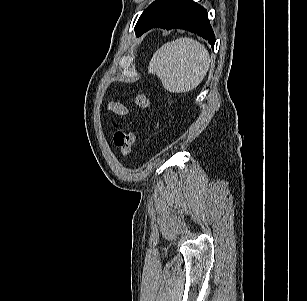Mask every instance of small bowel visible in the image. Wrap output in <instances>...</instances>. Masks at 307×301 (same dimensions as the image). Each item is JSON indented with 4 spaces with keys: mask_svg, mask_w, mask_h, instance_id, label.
<instances>
[{
    "mask_svg": "<svg viewBox=\"0 0 307 301\" xmlns=\"http://www.w3.org/2000/svg\"><path fill=\"white\" fill-rule=\"evenodd\" d=\"M108 108L110 111L119 115L127 114V109L120 103L116 102L109 103Z\"/></svg>",
    "mask_w": 307,
    "mask_h": 301,
    "instance_id": "small-bowel-1",
    "label": "small bowel"
}]
</instances>
